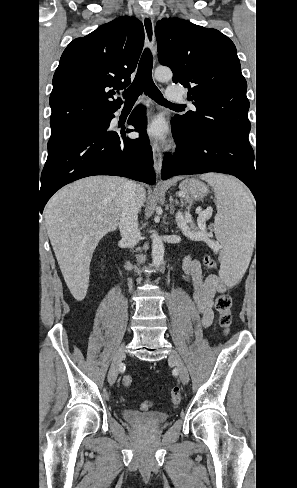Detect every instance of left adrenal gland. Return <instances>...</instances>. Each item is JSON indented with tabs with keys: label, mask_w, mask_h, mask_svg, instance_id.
<instances>
[{
	"label": "left adrenal gland",
	"mask_w": 297,
	"mask_h": 488,
	"mask_svg": "<svg viewBox=\"0 0 297 488\" xmlns=\"http://www.w3.org/2000/svg\"><path fill=\"white\" fill-rule=\"evenodd\" d=\"M175 211V208H174V199L171 197L170 198V214H173Z\"/></svg>",
	"instance_id": "1"
}]
</instances>
